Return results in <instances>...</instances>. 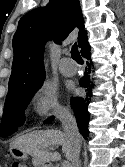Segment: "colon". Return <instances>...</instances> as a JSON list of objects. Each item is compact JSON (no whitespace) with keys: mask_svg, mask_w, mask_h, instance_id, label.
I'll return each instance as SVG.
<instances>
[{"mask_svg":"<svg viewBox=\"0 0 125 167\" xmlns=\"http://www.w3.org/2000/svg\"><path fill=\"white\" fill-rule=\"evenodd\" d=\"M13 167H29L27 163H21L19 165H15Z\"/></svg>","mask_w":125,"mask_h":167,"instance_id":"colon-1","label":"colon"}]
</instances>
